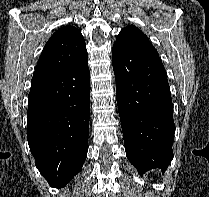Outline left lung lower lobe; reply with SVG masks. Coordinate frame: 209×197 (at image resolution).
Masks as SVG:
<instances>
[{"instance_id":"0a47b994","label":"left lung lower lobe","mask_w":209,"mask_h":197,"mask_svg":"<svg viewBox=\"0 0 209 197\" xmlns=\"http://www.w3.org/2000/svg\"><path fill=\"white\" fill-rule=\"evenodd\" d=\"M116 97L126 155L142 175L173 159L175 126L167 74L159 56L114 44Z\"/></svg>"}]
</instances>
